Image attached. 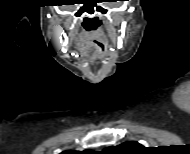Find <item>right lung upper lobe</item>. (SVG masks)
<instances>
[{
    "instance_id": "right-lung-upper-lobe-1",
    "label": "right lung upper lobe",
    "mask_w": 190,
    "mask_h": 154,
    "mask_svg": "<svg viewBox=\"0 0 190 154\" xmlns=\"http://www.w3.org/2000/svg\"><path fill=\"white\" fill-rule=\"evenodd\" d=\"M73 153H76L75 151H65V152H62L61 154H73Z\"/></svg>"
}]
</instances>
